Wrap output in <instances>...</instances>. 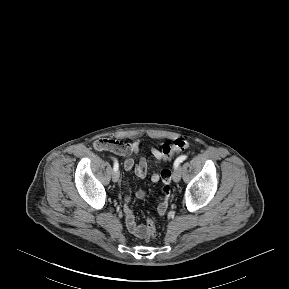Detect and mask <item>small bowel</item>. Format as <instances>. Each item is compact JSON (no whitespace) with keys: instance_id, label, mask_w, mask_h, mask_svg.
I'll list each match as a JSON object with an SVG mask.
<instances>
[{"instance_id":"1","label":"small bowel","mask_w":289,"mask_h":289,"mask_svg":"<svg viewBox=\"0 0 289 289\" xmlns=\"http://www.w3.org/2000/svg\"><path fill=\"white\" fill-rule=\"evenodd\" d=\"M94 147L97 150L110 151L116 155L125 157L123 161V167L127 171L133 170L136 176L139 178H144L148 172V163L145 158H140L137 162L132 158L133 154H137L141 147L140 141L126 142L117 139H99L95 142ZM152 156L158 160H164L161 155V150L155 147L150 148ZM162 177V178H161ZM171 171L164 168L160 174H153L150 178L152 183H157L161 180L159 185V197L160 204L158 205V216L163 218L165 212L169 209L170 199H171V189L172 184L170 183ZM136 196L138 198H144V191H137ZM131 195L126 193L123 196L124 202V213H125V223L127 229L137 238L146 239V226L142 224H137L135 216L133 213V208L131 205Z\"/></svg>"}]
</instances>
